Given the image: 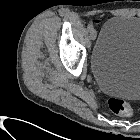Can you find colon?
<instances>
[{
    "instance_id": "5ec220e1",
    "label": "colon",
    "mask_w": 140,
    "mask_h": 140,
    "mask_svg": "<svg viewBox=\"0 0 140 140\" xmlns=\"http://www.w3.org/2000/svg\"><path fill=\"white\" fill-rule=\"evenodd\" d=\"M108 107L113 113L121 116H131L133 113L130 103L118 97H111L108 100Z\"/></svg>"
}]
</instances>
